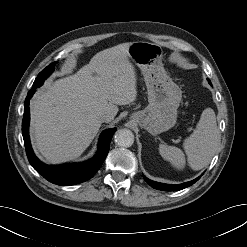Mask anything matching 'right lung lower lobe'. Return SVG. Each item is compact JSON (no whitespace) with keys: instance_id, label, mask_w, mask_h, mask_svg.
<instances>
[{"instance_id":"right-lung-lower-lobe-1","label":"right lung lower lobe","mask_w":247,"mask_h":247,"mask_svg":"<svg viewBox=\"0 0 247 247\" xmlns=\"http://www.w3.org/2000/svg\"><path fill=\"white\" fill-rule=\"evenodd\" d=\"M37 86H33L25 99L24 115L22 121V134L27 157L33 168L48 181L57 185H74L85 182L92 178L102 166L110 148V142L116 128L105 130L99 140L97 154L85 163H74L61 166L43 164L34 154L29 139V101L35 93Z\"/></svg>"}]
</instances>
